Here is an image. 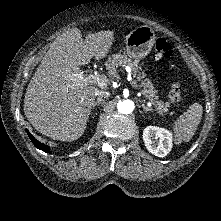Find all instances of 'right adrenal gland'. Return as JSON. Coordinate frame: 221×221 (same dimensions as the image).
<instances>
[{"mask_svg": "<svg viewBox=\"0 0 221 221\" xmlns=\"http://www.w3.org/2000/svg\"><path fill=\"white\" fill-rule=\"evenodd\" d=\"M101 101H102V97L98 98V99L96 100V102L94 103V105H93V109H94L96 106H99L100 103H101Z\"/></svg>", "mask_w": 221, "mask_h": 221, "instance_id": "obj_1", "label": "right adrenal gland"}]
</instances>
